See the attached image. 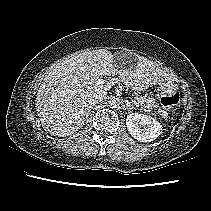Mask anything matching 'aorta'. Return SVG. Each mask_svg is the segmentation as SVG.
Masks as SVG:
<instances>
[{"mask_svg": "<svg viewBox=\"0 0 211 211\" xmlns=\"http://www.w3.org/2000/svg\"><path fill=\"white\" fill-rule=\"evenodd\" d=\"M120 100L118 97L112 96L108 100V106L110 108H117L119 106Z\"/></svg>", "mask_w": 211, "mask_h": 211, "instance_id": "aorta-1", "label": "aorta"}]
</instances>
